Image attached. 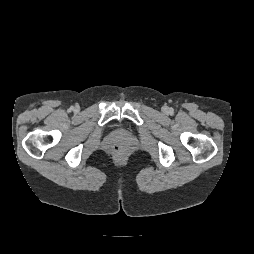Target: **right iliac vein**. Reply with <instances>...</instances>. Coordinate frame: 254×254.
I'll list each match as a JSON object with an SVG mask.
<instances>
[{"mask_svg": "<svg viewBox=\"0 0 254 254\" xmlns=\"http://www.w3.org/2000/svg\"><path fill=\"white\" fill-rule=\"evenodd\" d=\"M75 110L78 111V107H76Z\"/></svg>", "mask_w": 254, "mask_h": 254, "instance_id": "63e3f726", "label": "right iliac vein"}]
</instances>
